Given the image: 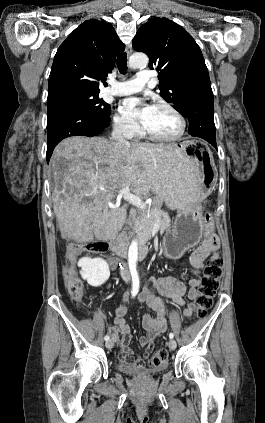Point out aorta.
Masks as SVG:
<instances>
[{
	"mask_svg": "<svg viewBox=\"0 0 265 423\" xmlns=\"http://www.w3.org/2000/svg\"><path fill=\"white\" fill-rule=\"evenodd\" d=\"M149 59L143 53H135L129 59V66L131 68H144L148 65ZM128 261L131 264H136L138 261V242L133 240L128 250Z\"/></svg>",
	"mask_w": 265,
	"mask_h": 423,
	"instance_id": "aorta-1",
	"label": "aorta"
}]
</instances>
